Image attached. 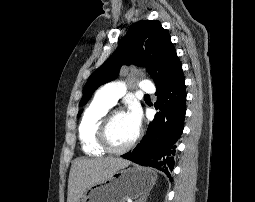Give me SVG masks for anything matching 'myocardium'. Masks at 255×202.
I'll use <instances>...</instances> for the list:
<instances>
[{"instance_id": "f54148a6", "label": "myocardium", "mask_w": 255, "mask_h": 202, "mask_svg": "<svg viewBox=\"0 0 255 202\" xmlns=\"http://www.w3.org/2000/svg\"><path fill=\"white\" fill-rule=\"evenodd\" d=\"M119 113H124V112L119 109L108 110L105 113V115L102 117L100 124L98 126V130H97L98 144L105 151H107L109 153H113V154H121V153L127 152L137 143V141L140 138V131L138 130L135 137L126 145H124L122 147L113 146V144L111 143V140H110L109 131H110V126H111L114 116Z\"/></svg>"}]
</instances>
